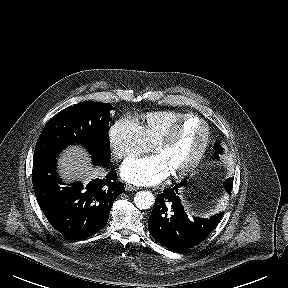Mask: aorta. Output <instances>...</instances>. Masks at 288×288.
Listing matches in <instances>:
<instances>
[{
	"label": "aorta",
	"mask_w": 288,
	"mask_h": 288,
	"mask_svg": "<svg viewBox=\"0 0 288 288\" xmlns=\"http://www.w3.org/2000/svg\"><path fill=\"white\" fill-rule=\"evenodd\" d=\"M154 195L150 191H139L134 196V204L140 210H146L153 206Z\"/></svg>",
	"instance_id": "762f6f07"
}]
</instances>
